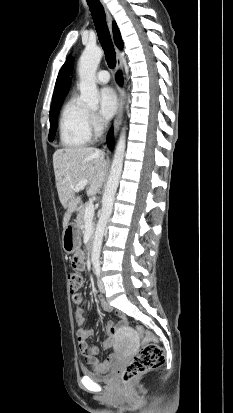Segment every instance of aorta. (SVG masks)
Wrapping results in <instances>:
<instances>
[{"mask_svg": "<svg viewBox=\"0 0 233 413\" xmlns=\"http://www.w3.org/2000/svg\"><path fill=\"white\" fill-rule=\"evenodd\" d=\"M102 56L103 51L99 47H87L83 51L78 62V74L80 79L79 89L81 92V100L89 107H97L99 102V93L95 82V74ZM125 147L126 133L125 128H123L113 156L110 174L102 199L101 214L96 226L91 254V261L93 266L99 265L104 231L112 213L115 194L122 173Z\"/></svg>", "mask_w": 233, "mask_h": 413, "instance_id": "aorta-1", "label": "aorta"}]
</instances>
